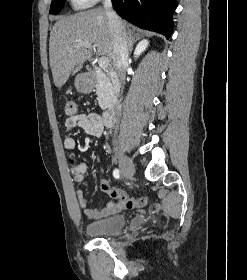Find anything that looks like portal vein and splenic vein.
<instances>
[{
  "mask_svg": "<svg viewBox=\"0 0 247 280\" xmlns=\"http://www.w3.org/2000/svg\"><path fill=\"white\" fill-rule=\"evenodd\" d=\"M83 46L87 49L94 50V46L91 44L85 43ZM98 65L102 69L107 68L110 65L109 59L107 57H100L98 60Z\"/></svg>",
  "mask_w": 247,
  "mask_h": 280,
  "instance_id": "18ae733b",
  "label": "portal vein and splenic vein"
}]
</instances>
